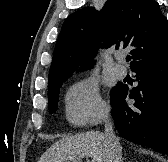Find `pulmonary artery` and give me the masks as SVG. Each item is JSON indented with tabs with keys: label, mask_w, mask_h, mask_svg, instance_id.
Instances as JSON below:
<instances>
[{
	"label": "pulmonary artery",
	"mask_w": 168,
	"mask_h": 162,
	"mask_svg": "<svg viewBox=\"0 0 168 162\" xmlns=\"http://www.w3.org/2000/svg\"><path fill=\"white\" fill-rule=\"evenodd\" d=\"M117 58L121 60V57L119 55L117 56ZM113 72L118 78H123L127 75V69L122 65H116L113 68Z\"/></svg>",
	"instance_id": "1"
}]
</instances>
